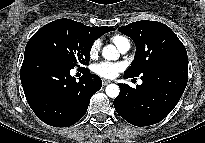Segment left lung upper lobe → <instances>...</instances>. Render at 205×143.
<instances>
[{
    "mask_svg": "<svg viewBox=\"0 0 205 143\" xmlns=\"http://www.w3.org/2000/svg\"><path fill=\"white\" fill-rule=\"evenodd\" d=\"M118 30L129 36L136 45L135 59L124 74L128 77L142 75L158 63L187 59L184 45L163 23L142 20L121 26Z\"/></svg>",
    "mask_w": 205,
    "mask_h": 143,
    "instance_id": "1",
    "label": "left lung upper lobe"
}]
</instances>
